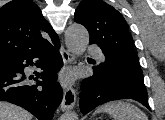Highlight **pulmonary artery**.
Wrapping results in <instances>:
<instances>
[{"instance_id":"1","label":"pulmonary artery","mask_w":165,"mask_h":120,"mask_svg":"<svg viewBox=\"0 0 165 120\" xmlns=\"http://www.w3.org/2000/svg\"><path fill=\"white\" fill-rule=\"evenodd\" d=\"M86 50L90 54H93V55H95L97 57H102L101 51L97 47H95V46H88L86 48Z\"/></svg>"}]
</instances>
